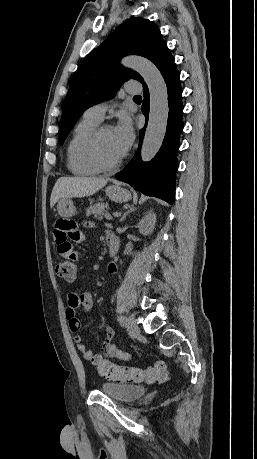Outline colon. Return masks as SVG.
<instances>
[{
  "mask_svg": "<svg viewBox=\"0 0 257 459\" xmlns=\"http://www.w3.org/2000/svg\"><path fill=\"white\" fill-rule=\"evenodd\" d=\"M55 273L59 278L72 282L77 277V265L72 261L60 260L55 264ZM92 363L100 375L117 381L161 383L169 379L167 366L162 361L146 368H136L115 365L101 355H95Z\"/></svg>",
  "mask_w": 257,
  "mask_h": 459,
  "instance_id": "1",
  "label": "colon"
}]
</instances>
